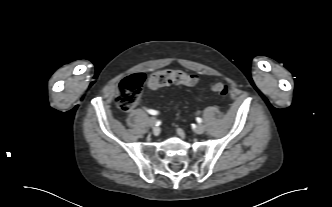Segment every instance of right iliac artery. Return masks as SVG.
Segmentation results:
<instances>
[{"mask_svg":"<svg viewBox=\"0 0 332 207\" xmlns=\"http://www.w3.org/2000/svg\"><path fill=\"white\" fill-rule=\"evenodd\" d=\"M146 111H147L149 114H151V115H157V114H158L157 111L152 110V109H146Z\"/></svg>","mask_w":332,"mask_h":207,"instance_id":"right-iliac-artery-1","label":"right iliac artery"}]
</instances>
